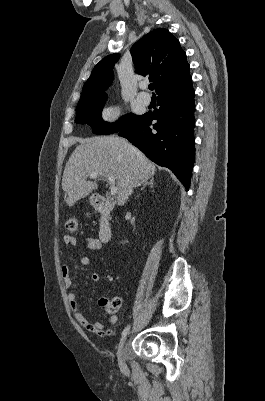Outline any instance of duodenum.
<instances>
[{
  "label": "duodenum",
  "mask_w": 265,
  "mask_h": 401,
  "mask_svg": "<svg viewBox=\"0 0 265 401\" xmlns=\"http://www.w3.org/2000/svg\"><path fill=\"white\" fill-rule=\"evenodd\" d=\"M93 207L100 214L98 236L102 243H107L112 238V227L110 223L111 203L102 196H96L93 200Z\"/></svg>",
  "instance_id": "duodenum-1"
}]
</instances>
